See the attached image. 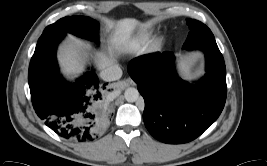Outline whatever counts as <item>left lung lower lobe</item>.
<instances>
[{
    "label": "left lung lower lobe",
    "mask_w": 267,
    "mask_h": 166,
    "mask_svg": "<svg viewBox=\"0 0 267 166\" xmlns=\"http://www.w3.org/2000/svg\"><path fill=\"white\" fill-rule=\"evenodd\" d=\"M184 49H199L206 57L207 73L195 84L177 76L170 52L139 56L127 68L145 101L146 128L168 144L196 139L216 121L226 101V67L214 36L201 37Z\"/></svg>",
    "instance_id": "1"
}]
</instances>
